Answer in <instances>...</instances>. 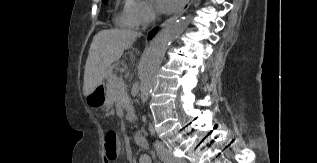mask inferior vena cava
Here are the masks:
<instances>
[{
	"mask_svg": "<svg viewBox=\"0 0 317 163\" xmlns=\"http://www.w3.org/2000/svg\"><path fill=\"white\" fill-rule=\"evenodd\" d=\"M154 147H155L159 157L164 158V157L168 156V151L163 145H161L159 143H155Z\"/></svg>",
	"mask_w": 317,
	"mask_h": 163,
	"instance_id": "1",
	"label": "inferior vena cava"
}]
</instances>
